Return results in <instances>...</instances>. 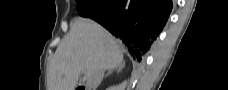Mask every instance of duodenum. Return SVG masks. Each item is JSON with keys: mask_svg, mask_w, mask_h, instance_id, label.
<instances>
[{"mask_svg": "<svg viewBox=\"0 0 228 90\" xmlns=\"http://www.w3.org/2000/svg\"><path fill=\"white\" fill-rule=\"evenodd\" d=\"M76 90H86V88L84 86H77Z\"/></svg>", "mask_w": 228, "mask_h": 90, "instance_id": "410a0bca", "label": "duodenum"}]
</instances>
